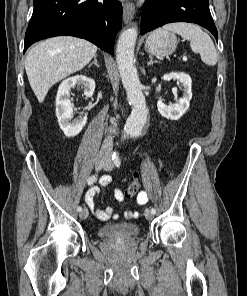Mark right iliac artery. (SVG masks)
Listing matches in <instances>:
<instances>
[{
	"label": "right iliac artery",
	"mask_w": 247,
	"mask_h": 296,
	"mask_svg": "<svg viewBox=\"0 0 247 296\" xmlns=\"http://www.w3.org/2000/svg\"><path fill=\"white\" fill-rule=\"evenodd\" d=\"M96 181H97V175H92V176H90L88 178L87 183H88V185H91V184H93ZM77 211L81 212L82 211V207L81 206L77 207Z\"/></svg>",
	"instance_id": "82829eb1"
}]
</instances>
